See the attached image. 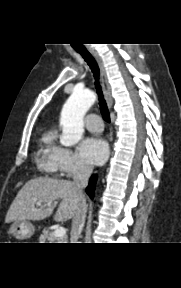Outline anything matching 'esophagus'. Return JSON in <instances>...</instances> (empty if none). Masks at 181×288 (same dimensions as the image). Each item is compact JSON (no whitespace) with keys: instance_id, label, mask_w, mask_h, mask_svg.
<instances>
[{"instance_id":"1","label":"esophagus","mask_w":181,"mask_h":288,"mask_svg":"<svg viewBox=\"0 0 181 288\" xmlns=\"http://www.w3.org/2000/svg\"><path fill=\"white\" fill-rule=\"evenodd\" d=\"M89 52L92 54V56L94 57V59L96 60L100 71H101V78H102V86H103V91H104V95H105V99L106 102L108 104L109 109L112 108V97H111V87L108 81V77L104 68V65L100 59V57L97 55V53L91 49H89Z\"/></svg>"}]
</instances>
